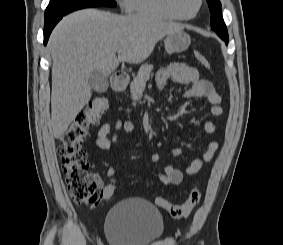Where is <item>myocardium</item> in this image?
<instances>
[{"label": "myocardium", "instance_id": "myocardium-1", "mask_svg": "<svg viewBox=\"0 0 283 245\" xmlns=\"http://www.w3.org/2000/svg\"><path fill=\"white\" fill-rule=\"evenodd\" d=\"M164 1H165V6H166L167 10L176 19H179V20H191V19L195 18L199 14V12L201 11L204 0H197V7L194 10V12L191 13L190 15H183V14H181L179 12L176 0H164Z\"/></svg>", "mask_w": 283, "mask_h": 245}]
</instances>
